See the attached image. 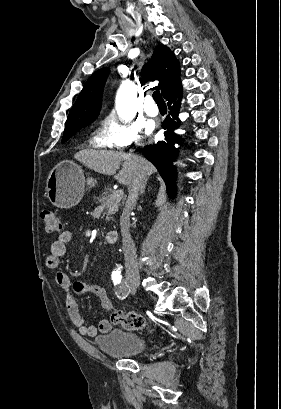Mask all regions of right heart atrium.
Listing matches in <instances>:
<instances>
[{
    "label": "right heart atrium",
    "instance_id": "right-heart-atrium-1",
    "mask_svg": "<svg viewBox=\"0 0 281 409\" xmlns=\"http://www.w3.org/2000/svg\"><path fill=\"white\" fill-rule=\"evenodd\" d=\"M135 116L118 115V119H104L102 131L99 135L103 145L113 149H126L141 145L142 133L144 132L146 136L149 135L152 127L150 125L143 127L135 119Z\"/></svg>",
    "mask_w": 281,
    "mask_h": 409
}]
</instances>
